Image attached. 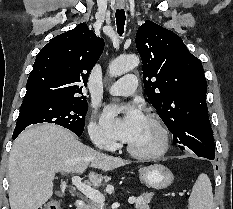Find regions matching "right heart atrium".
<instances>
[{
  "label": "right heart atrium",
  "instance_id": "right-heart-atrium-1",
  "mask_svg": "<svg viewBox=\"0 0 233 209\" xmlns=\"http://www.w3.org/2000/svg\"><path fill=\"white\" fill-rule=\"evenodd\" d=\"M88 132L92 143L105 150H112L116 147L114 139L100 126L94 118L91 119Z\"/></svg>",
  "mask_w": 233,
  "mask_h": 209
}]
</instances>
